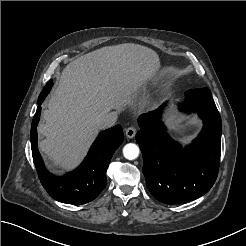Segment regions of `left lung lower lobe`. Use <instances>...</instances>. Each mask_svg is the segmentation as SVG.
Here are the masks:
<instances>
[{
    "label": "left lung lower lobe",
    "mask_w": 246,
    "mask_h": 246,
    "mask_svg": "<svg viewBox=\"0 0 246 246\" xmlns=\"http://www.w3.org/2000/svg\"><path fill=\"white\" fill-rule=\"evenodd\" d=\"M182 107L197 112L204 126L191 145L183 149L166 133L162 105L141 115L135 139L143 155V174L151 194L160 202L177 204L195 200L213 186L219 170L222 122L208 88L185 92Z\"/></svg>",
    "instance_id": "obj_1"
}]
</instances>
